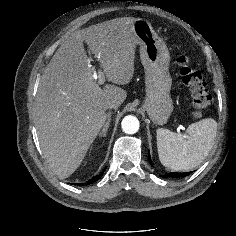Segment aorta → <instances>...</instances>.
I'll use <instances>...</instances> for the list:
<instances>
[{"mask_svg": "<svg viewBox=\"0 0 236 236\" xmlns=\"http://www.w3.org/2000/svg\"><path fill=\"white\" fill-rule=\"evenodd\" d=\"M121 126L126 134H134L139 130V120L135 116L128 115L123 118Z\"/></svg>", "mask_w": 236, "mask_h": 236, "instance_id": "obj_1", "label": "aorta"}]
</instances>
